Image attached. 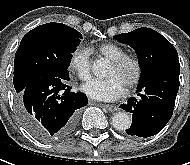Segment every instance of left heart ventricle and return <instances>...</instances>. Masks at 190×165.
Listing matches in <instances>:
<instances>
[{"mask_svg": "<svg viewBox=\"0 0 190 165\" xmlns=\"http://www.w3.org/2000/svg\"><path fill=\"white\" fill-rule=\"evenodd\" d=\"M134 71L131 67H128L124 70H118L113 65H110L107 77L117 78L124 86L131 80L133 77Z\"/></svg>", "mask_w": 190, "mask_h": 165, "instance_id": "obj_1", "label": "left heart ventricle"}]
</instances>
